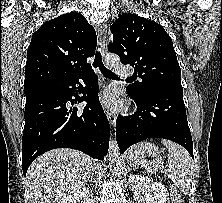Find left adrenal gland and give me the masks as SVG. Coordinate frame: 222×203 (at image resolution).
I'll use <instances>...</instances> for the list:
<instances>
[{
	"label": "left adrenal gland",
	"mask_w": 222,
	"mask_h": 203,
	"mask_svg": "<svg viewBox=\"0 0 222 203\" xmlns=\"http://www.w3.org/2000/svg\"><path fill=\"white\" fill-rule=\"evenodd\" d=\"M131 167H135L136 168V165L132 164L131 161H128V170H130Z\"/></svg>",
	"instance_id": "left-adrenal-gland-1"
}]
</instances>
